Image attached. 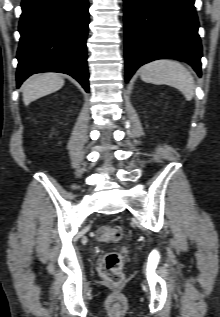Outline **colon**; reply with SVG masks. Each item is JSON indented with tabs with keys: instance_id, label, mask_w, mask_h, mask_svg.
Returning <instances> with one entry per match:
<instances>
[{
	"instance_id": "obj_1",
	"label": "colon",
	"mask_w": 220,
	"mask_h": 317,
	"mask_svg": "<svg viewBox=\"0 0 220 317\" xmlns=\"http://www.w3.org/2000/svg\"><path fill=\"white\" fill-rule=\"evenodd\" d=\"M123 233L119 226L103 225L97 231V237L102 242H118ZM126 250L121 249L104 254L99 264V274L108 283L119 285L124 281L123 264Z\"/></svg>"
}]
</instances>
